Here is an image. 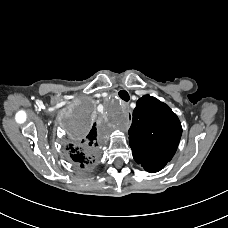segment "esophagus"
Wrapping results in <instances>:
<instances>
[{
  "label": "esophagus",
  "mask_w": 228,
  "mask_h": 228,
  "mask_svg": "<svg viewBox=\"0 0 228 228\" xmlns=\"http://www.w3.org/2000/svg\"><path fill=\"white\" fill-rule=\"evenodd\" d=\"M122 106H123L124 108H127V103H123Z\"/></svg>",
  "instance_id": "1"
}]
</instances>
